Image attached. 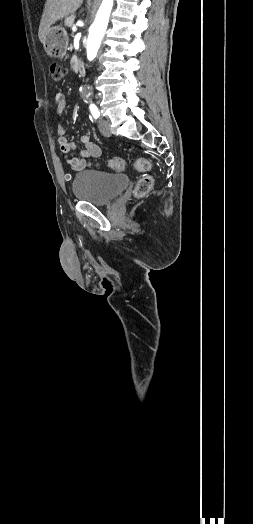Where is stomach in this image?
<instances>
[{"label":"stomach","mask_w":253,"mask_h":524,"mask_svg":"<svg viewBox=\"0 0 253 524\" xmlns=\"http://www.w3.org/2000/svg\"><path fill=\"white\" fill-rule=\"evenodd\" d=\"M68 34L62 26H53L47 32L44 49L53 58H63L68 46Z\"/></svg>","instance_id":"0dacf381"}]
</instances>
